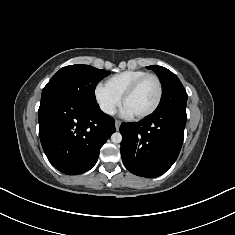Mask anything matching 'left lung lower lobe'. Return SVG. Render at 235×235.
Masks as SVG:
<instances>
[{"label": "left lung lower lobe", "instance_id": "1", "mask_svg": "<svg viewBox=\"0 0 235 235\" xmlns=\"http://www.w3.org/2000/svg\"><path fill=\"white\" fill-rule=\"evenodd\" d=\"M186 107L174 105L156 110L135 123H122L121 156L133 174L154 178L176 161L182 147Z\"/></svg>", "mask_w": 235, "mask_h": 235}]
</instances>
